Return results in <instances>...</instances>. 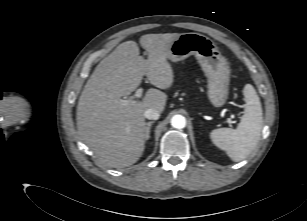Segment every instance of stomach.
<instances>
[{
	"mask_svg": "<svg viewBox=\"0 0 307 221\" xmlns=\"http://www.w3.org/2000/svg\"><path fill=\"white\" fill-rule=\"evenodd\" d=\"M194 55L207 79V95L211 104L221 107L229 95L230 67L214 42L199 33H182L175 38L168 50L167 59L178 62Z\"/></svg>",
	"mask_w": 307,
	"mask_h": 221,
	"instance_id": "stomach-1",
	"label": "stomach"
}]
</instances>
